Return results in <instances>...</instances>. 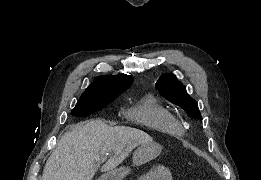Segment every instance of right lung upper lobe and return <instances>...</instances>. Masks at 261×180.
Listing matches in <instances>:
<instances>
[{
    "label": "right lung upper lobe",
    "instance_id": "1",
    "mask_svg": "<svg viewBox=\"0 0 261 180\" xmlns=\"http://www.w3.org/2000/svg\"><path fill=\"white\" fill-rule=\"evenodd\" d=\"M133 82L129 76H100L82 94L87 97L119 96Z\"/></svg>",
    "mask_w": 261,
    "mask_h": 180
}]
</instances>
